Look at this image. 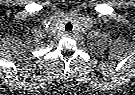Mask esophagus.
<instances>
[{
    "label": "esophagus",
    "instance_id": "34e87169",
    "mask_svg": "<svg viewBox=\"0 0 135 95\" xmlns=\"http://www.w3.org/2000/svg\"><path fill=\"white\" fill-rule=\"evenodd\" d=\"M72 35H73V34H72L71 32H66V33H65V36H66V37H71Z\"/></svg>",
    "mask_w": 135,
    "mask_h": 95
}]
</instances>
